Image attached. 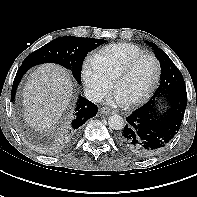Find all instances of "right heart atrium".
Returning a JSON list of instances; mask_svg holds the SVG:
<instances>
[{"instance_id": "1", "label": "right heart atrium", "mask_w": 197, "mask_h": 197, "mask_svg": "<svg viewBox=\"0 0 197 197\" xmlns=\"http://www.w3.org/2000/svg\"><path fill=\"white\" fill-rule=\"evenodd\" d=\"M82 79L89 97L95 101L103 98L113 85V78L97 67L92 58L82 68Z\"/></svg>"}]
</instances>
